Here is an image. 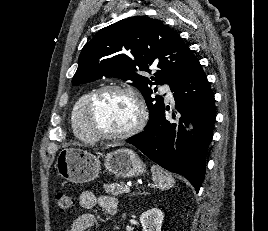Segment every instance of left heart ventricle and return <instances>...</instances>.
Returning <instances> with one entry per match:
<instances>
[{
	"instance_id": "1",
	"label": "left heart ventricle",
	"mask_w": 268,
	"mask_h": 231,
	"mask_svg": "<svg viewBox=\"0 0 268 231\" xmlns=\"http://www.w3.org/2000/svg\"><path fill=\"white\" fill-rule=\"evenodd\" d=\"M138 118L134 101L125 94L107 93L101 96L92 113V123L100 131L121 132Z\"/></svg>"
}]
</instances>
